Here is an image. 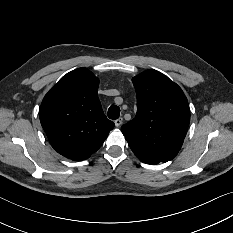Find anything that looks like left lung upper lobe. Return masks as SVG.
Returning <instances> with one entry per match:
<instances>
[{
	"label": "left lung upper lobe",
	"instance_id": "obj_1",
	"mask_svg": "<svg viewBox=\"0 0 233 233\" xmlns=\"http://www.w3.org/2000/svg\"><path fill=\"white\" fill-rule=\"evenodd\" d=\"M137 94L136 117L121 127L131 149L164 161L172 160L183 144L190 121L181 88L156 70L132 79Z\"/></svg>",
	"mask_w": 233,
	"mask_h": 233
}]
</instances>
